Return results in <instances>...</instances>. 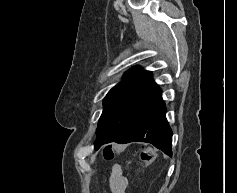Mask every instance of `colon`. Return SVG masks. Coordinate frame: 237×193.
<instances>
[{"label":"colon","instance_id":"colon-1","mask_svg":"<svg viewBox=\"0 0 237 193\" xmlns=\"http://www.w3.org/2000/svg\"><path fill=\"white\" fill-rule=\"evenodd\" d=\"M116 152V148L112 145H108L105 147L103 151L104 158L107 160H111L114 158ZM155 159V153L150 148H142L140 151V160L143 167L149 166Z\"/></svg>","mask_w":237,"mask_h":193}]
</instances>
